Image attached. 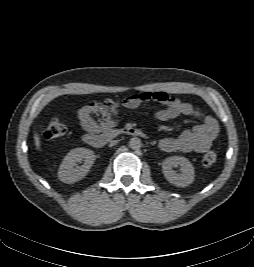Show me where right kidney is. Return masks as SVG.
Masks as SVG:
<instances>
[{
  "label": "right kidney",
  "instance_id": "1",
  "mask_svg": "<svg viewBox=\"0 0 254 267\" xmlns=\"http://www.w3.org/2000/svg\"><path fill=\"white\" fill-rule=\"evenodd\" d=\"M96 157L94 152L86 148L72 149L64 157L59 170L58 178L64 183H75L84 178L91 166L94 164ZM84 161L82 166H76V162Z\"/></svg>",
  "mask_w": 254,
  "mask_h": 267
}]
</instances>
